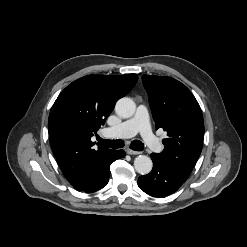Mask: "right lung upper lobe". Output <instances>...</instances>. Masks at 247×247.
<instances>
[{
    "label": "right lung upper lobe",
    "instance_id": "right-lung-upper-lobe-1",
    "mask_svg": "<svg viewBox=\"0 0 247 247\" xmlns=\"http://www.w3.org/2000/svg\"><path fill=\"white\" fill-rule=\"evenodd\" d=\"M136 74L88 75L68 85L53 104L48 131L53 153L74 188L91 182L114 150L93 149V134L114 109L116 101L136 84Z\"/></svg>",
    "mask_w": 247,
    "mask_h": 247
}]
</instances>
